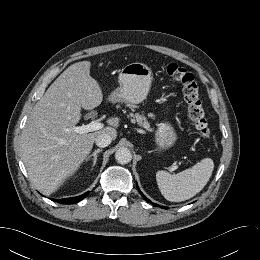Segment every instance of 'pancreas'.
<instances>
[{"label":"pancreas","instance_id":"1","mask_svg":"<svg viewBox=\"0 0 260 260\" xmlns=\"http://www.w3.org/2000/svg\"><path fill=\"white\" fill-rule=\"evenodd\" d=\"M129 116L132 117L131 118L132 123L137 122V124L139 126H142L143 128H145L148 131H152V128L150 127V123L147 121V119L144 115L136 113V114H130ZM150 116L153 117V114H150Z\"/></svg>","mask_w":260,"mask_h":260}]
</instances>
